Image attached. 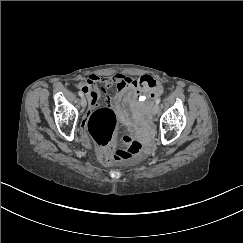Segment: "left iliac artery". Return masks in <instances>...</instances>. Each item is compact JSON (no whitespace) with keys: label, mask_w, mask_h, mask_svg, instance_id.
<instances>
[{"label":"left iliac artery","mask_w":243,"mask_h":243,"mask_svg":"<svg viewBox=\"0 0 243 243\" xmlns=\"http://www.w3.org/2000/svg\"><path fill=\"white\" fill-rule=\"evenodd\" d=\"M160 101H161V99H160V98H158V99L156 100V104H159V103H160Z\"/></svg>","instance_id":"left-iliac-artery-1"}]
</instances>
